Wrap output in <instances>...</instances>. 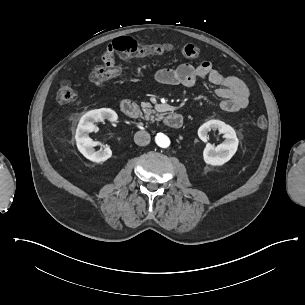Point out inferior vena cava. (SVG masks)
Segmentation results:
<instances>
[{"mask_svg": "<svg viewBox=\"0 0 305 305\" xmlns=\"http://www.w3.org/2000/svg\"><path fill=\"white\" fill-rule=\"evenodd\" d=\"M134 142L139 146H145L150 142V135L146 131H138L134 135Z\"/></svg>", "mask_w": 305, "mask_h": 305, "instance_id": "obj_1", "label": "inferior vena cava"}]
</instances>
